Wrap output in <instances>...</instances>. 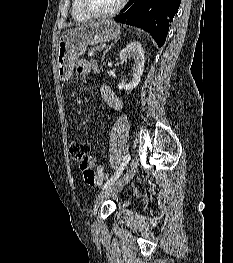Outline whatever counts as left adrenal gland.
<instances>
[{
    "label": "left adrenal gland",
    "mask_w": 233,
    "mask_h": 263,
    "mask_svg": "<svg viewBox=\"0 0 233 263\" xmlns=\"http://www.w3.org/2000/svg\"><path fill=\"white\" fill-rule=\"evenodd\" d=\"M117 42H118V39L115 40V42L112 43V44L104 51V53H103V55H102V62L104 61V58H105L106 53H107L112 47H114V45H115Z\"/></svg>",
    "instance_id": "a2214340"
}]
</instances>
